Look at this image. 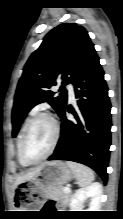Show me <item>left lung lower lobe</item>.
Masks as SVG:
<instances>
[{"mask_svg":"<svg viewBox=\"0 0 123 219\" xmlns=\"http://www.w3.org/2000/svg\"><path fill=\"white\" fill-rule=\"evenodd\" d=\"M73 85L79 98L78 111L67 104L62 110L59 115L61 136L48 160L82 163L95 170L106 182L111 145V104L98 56L86 63ZM68 112L75 116L74 121L68 120Z\"/></svg>","mask_w":123,"mask_h":219,"instance_id":"obj_1","label":"left lung lower lobe"}]
</instances>
